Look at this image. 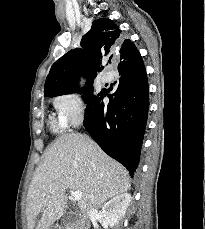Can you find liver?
<instances>
[{
  "instance_id": "liver-1",
  "label": "liver",
  "mask_w": 205,
  "mask_h": 229,
  "mask_svg": "<svg viewBox=\"0 0 205 229\" xmlns=\"http://www.w3.org/2000/svg\"><path fill=\"white\" fill-rule=\"evenodd\" d=\"M130 187L127 170L92 139L78 133L63 135L46 149L34 172L26 202L28 229H34L40 213L35 229H49L66 212L68 189L82 193L78 206L85 215Z\"/></svg>"
}]
</instances>
